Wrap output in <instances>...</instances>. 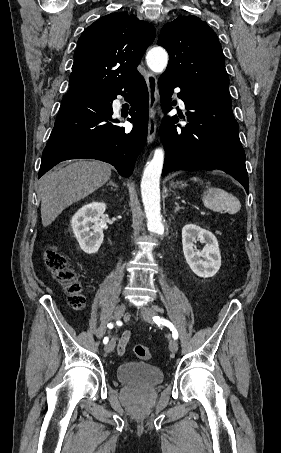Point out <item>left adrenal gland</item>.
Masks as SVG:
<instances>
[{
    "mask_svg": "<svg viewBox=\"0 0 281 453\" xmlns=\"http://www.w3.org/2000/svg\"><path fill=\"white\" fill-rule=\"evenodd\" d=\"M175 204H176V206H175L174 212H177V210H180V206H179L178 202H175Z\"/></svg>",
    "mask_w": 281,
    "mask_h": 453,
    "instance_id": "a2214340",
    "label": "left adrenal gland"
}]
</instances>
